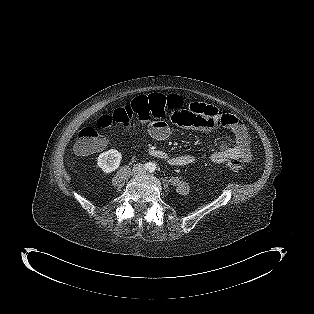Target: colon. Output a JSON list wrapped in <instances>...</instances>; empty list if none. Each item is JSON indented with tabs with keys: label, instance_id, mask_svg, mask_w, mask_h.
I'll return each instance as SVG.
<instances>
[{
	"label": "colon",
	"instance_id": "1",
	"mask_svg": "<svg viewBox=\"0 0 314 314\" xmlns=\"http://www.w3.org/2000/svg\"><path fill=\"white\" fill-rule=\"evenodd\" d=\"M183 100L178 95H163L153 93L140 95L130 104L116 109L111 115L104 114L96 121V126L101 129H109L114 123L123 126L131 125L133 122L149 123L161 118L171 120L172 113L183 108ZM104 146V138L93 126L83 127L77 136L74 144V151L78 155H88L100 151ZM227 166L232 170L242 168V162L238 159H230Z\"/></svg>",
	"mask_w": 314,
	"mask_h": 314
}]
</instances>
